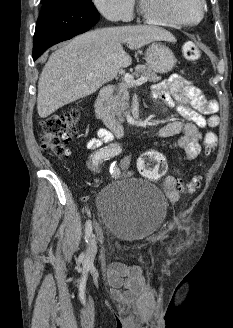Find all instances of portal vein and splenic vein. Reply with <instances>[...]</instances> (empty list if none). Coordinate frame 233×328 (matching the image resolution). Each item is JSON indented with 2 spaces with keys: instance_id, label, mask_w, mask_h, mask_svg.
Masks as SVG:
<instances>
[{
  "instance_id": "1",
  "label": "portal vein and splenic vein",
  "mask_w": 233,
  "mask_h": 328,
  "mask_svg": "<svg viewBox=\"0 0 233 328\" xmlns=\"http://www.w3.org/2000/svg\"><path fill=\"white\" fill-rule=\"evenodd\" d=\"M123 79H124V81H125L127 84H129V85H131V86H139V85H142V84L145 83L146 80H147L146 77H141V78H139V79H137V80H134L133 76L130 75V74H128V73H126V74L124 75V78H123Z\"/></svg>"
}]
</instances>
